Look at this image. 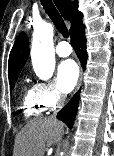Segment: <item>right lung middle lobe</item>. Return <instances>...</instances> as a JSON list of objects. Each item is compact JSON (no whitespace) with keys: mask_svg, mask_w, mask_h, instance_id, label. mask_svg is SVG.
Wrapping results in <instances>:
<instances>
[{"mask_svg":"<svg viewBox=\"0 0 114 156\" xmlns=\"http://www.w3.org/2000/svg\"><path fill=\"white\" fill-rule=\"evenodd\" d=\"M17 78H18V75L9 78L11 88L14 87Z\"/></svg>","mask_w":114,"mask_h":156,"instance_id":"right-lung-middle-lobe-1","label":"right lung middle lobe"}]
</instances>
